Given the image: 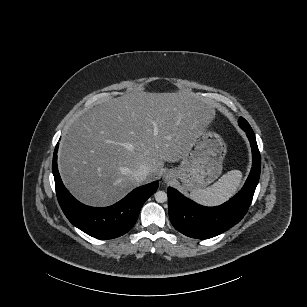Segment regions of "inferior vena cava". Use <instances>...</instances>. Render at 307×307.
<instances>
[{"label": "inferior vena cava", "mask_w": 307, "mask_h": 307, "mask_svg": "<svg viewBox=\"0 0 307 307\" xmlns=\"http://www.w3.org/2000/svg\"><path fill=\"white\" fill-rule=\"evenodd\" d=\"M150 168L147 165H141L134 173L133 178L136 181V183H143L148 174H149Z\"/></svg>", "instance_id": "602c4592"}]
</instances>
